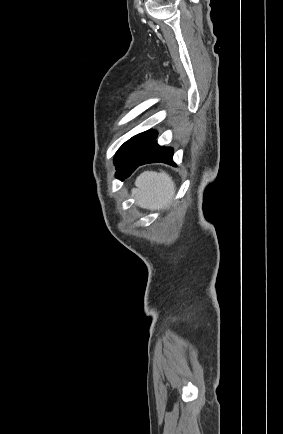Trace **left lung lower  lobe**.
Here are the masks:
<instances>
[{
    "label": "left lung lower lobe",
    "instance_id": "1",
    "mask_svg": "<svg viewBox=\"0 0 283 434\" xmlns=\"http://www.w3.org/2000/svg\"><path fill=\"white\" fill-rule=\"evenodd\" d=\"M155 162L174 165L173 149L170 147L160 146L155 140L142 157L116 166V170H118L116 172V177L120 180H124L125 178L129 177L140 165Z\"/></svg>",
    "mask_w": 283,
    "mask_h": 434
}]
</instances>
